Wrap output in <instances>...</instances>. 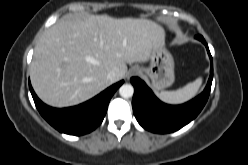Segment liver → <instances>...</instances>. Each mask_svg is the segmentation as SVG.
I'll return each instance as SVG.
<instances>
[{"label": "liver", "mask_w": 248, "mask_h": 165, "mask_svg": "<svg viewBox=\"0 0 248 165\" xmlns=\"http://www.w3.org/2000/svg\"><path fill=\"white\" fill-rule=\"evenodd\" d=\"M164 37L163 27L148 19L104 15L61 19L35 46L30 66L33 89L53 107L80 104L112 84L109 72L115 71L119 81L127 64L146 62Z\"/></svg>", "instance_id": "1"}]
</instances>
